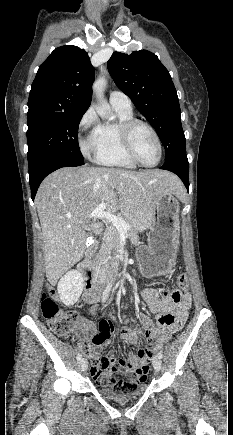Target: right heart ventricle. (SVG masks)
I'll list each match as a JSON object with an SVG mask.
<instances>
[{
  "label": "right heart ventricle",
  "instance_id": "obj_1",
  "mask_svg": "<svg viewBox=\"0 0 233 435\" xmlns=\"http://www.w3.org/2000/svg\"><path fill=\"white\" fill-rule=\"evenodd\" d=\"M114 109L118 115V121H105L99 124L96 161L102 166L136 168L137 165L127 156L124 150L119 131L121 123L133 118L132 110L119 107H114Z\"/></svg>",
  "mask_w": 233,
  "mask_h": 435
}]
</instances>
